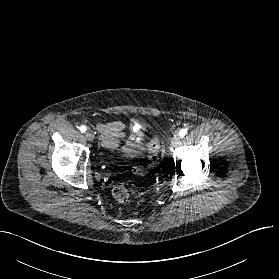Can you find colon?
Instances as JSON below:
<instances>
[{"label":"colon","instance_id":"colon-1","mask_svg":"<svg viewBox=\"0 0 279 279\" xmlns=\"http://www.w3.org/2000/svg\"><path fill=\"white\" fill-rule=\"evenodd\" d=\"M160 150V141L157 138H152L148 144L149 168L157 166L159 161L158 153L160 152ZM133 172L135 174L143 175L146 173V170L141 168H134ZM112 193L114 198L122 203L127 202L138 195L137 190L127 185H118L114 187Z\"/></svg>","mask_w":279,"mask_h":279}]
</instances>
